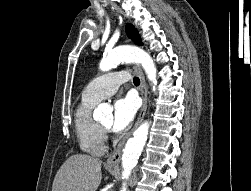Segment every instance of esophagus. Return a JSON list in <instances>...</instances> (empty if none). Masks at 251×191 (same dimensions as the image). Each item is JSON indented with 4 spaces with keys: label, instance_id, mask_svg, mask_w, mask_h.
I'll list each match as a JSON object with an SVG mask.
<instances>
[{
    "label": "esophagus",
    "instance_id": "esophagus-1",
    "mask_svg": "<svg viewBox=\"0 0 251 191\" xmlns=\"http://www.w3.org/2000/svg\"><path fill=\"white\" fill-rule=\"evenodd\" d=\"M134 69L138 73V76L140 78V84H141L140 85V93H141L142 100H143L142 108H141L140 114L138 116V119H137L133 129L123 137V139L117 145V147H116L114 153L112 154V156H110V158H108V160L106 162V165L109 166V167L118 166V164L120 162V158H121L122 146L124 145L126 140L131 136V134L137 128V126L141 123V121L143 120L144 115L146 113V109H147V87H146V81H145L144 73H143L140 65H135Z\"/></svg>",
    "mask_w": 251,
    "mask_h": 191
}]
</instances>
